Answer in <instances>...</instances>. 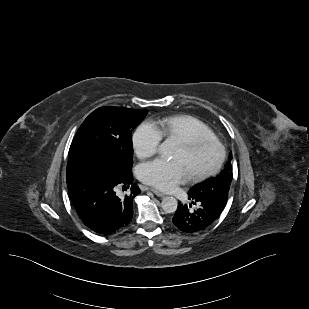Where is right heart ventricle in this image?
Listing matches in <instances>:
<instances>
[{
    "instance_id": "e07e8e85",
    "label": "right heart ventricle",
    "mask_w": 309,
    "mask_h": 309,
    "mask_svg": "<svg viewBox=\"0 0 309 309\" xmlns=\"http://www.w3.org/2000/svg\"><path fill=\"white\" fill-rule=\"evenodd\" d=\"M162 135L168 138L184 140L192 137H215L212 129L200 119L191 115H174L157 121Z\"/></svg>"
}]
</instances>
